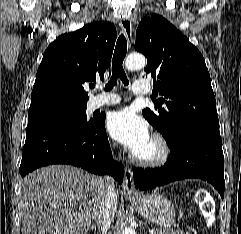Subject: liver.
Returning <instances> with one entry per match:
<instances>
[{"label":"liver","instance_id":"1","mask_svg":"<svg viewBox=\"0 0 241 234\" xmlns=\"http://www.w3.org/2000/svg\"><path fill=\"white\" fill-rule=\"evenodd\" d=\"M101 179L68 165L27 175L20 191L22 234H86L102 200Z\"/></svg>","mask_w":241,"mask_h":234}]
</instances>
